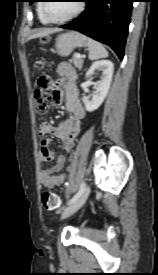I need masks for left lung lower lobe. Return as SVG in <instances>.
Masks as SVG:
<instances>
[{"mask_svg": "<svg viewBox=\"0 0 158 275\" xmlns=\"http://www.w3.org/2000/svg\"><path fill=\"white\" fill-rule=\"evenodd\" d=\"M133 1L86 0L85 11L74 21L61 27L79 31L110 46L122 60Z\"/></svg>", "mask_w": 158, "mask_h": 275, "instance_id": "1", "label": "left lung lower lobe"}]
</instances>
